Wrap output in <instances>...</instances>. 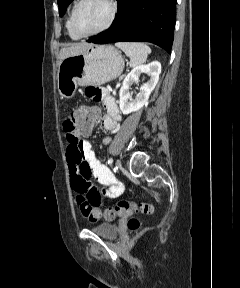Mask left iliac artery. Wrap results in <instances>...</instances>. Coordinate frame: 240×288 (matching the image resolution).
<instances>
[{
    "instance_id": "left-iliac-artery-1",
    "label": "left iliac artery",
    "mask_w": 240,
    "mask_h": 288,
    "mask_svg": "<svg viewBox=\"0 0 240 288\" xmlns=\"http://www.w3.org/2000/svg\"><path fill=\"white\" fill-rule=\"evenodd\" d=\"M113 163V158L108 159V164L111 165Z\"/></svg>"
}]
</instances>
